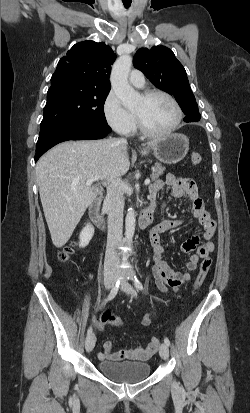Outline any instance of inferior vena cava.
<instances>
[{"label":"inferior vena cava","instance_id":"inferior-vena-cava-1","mask_svg":"<svg viewBox=\"0 0 250 413\" xmlns=\"http://www.w3.org/2000/svg\"><path fill=\"white\" fill-rule=\"evenodd\" d=\"M119 143H127L126 139H119ZM108 213V236L105 254V268H116L120 264L116 247L122 241L123 209L122 190L120 179L111 180L107 185V194L104 200Z\"/></svg>","mask_w":250,"mask_h":413}]
</instances>
